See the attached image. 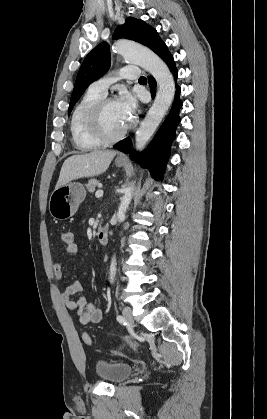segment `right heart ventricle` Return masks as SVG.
Masks as SVG:
<instances>
[{
    "mask_svg": "<svg viewBox=\"0 0 267 419\" xmlns=\"http://www.w3.org/2000/svg\"><path fill=\"white\" fill-rule=\"evenodd\" d=\"M104 94L89 88L73 109L70 120V131L75 148L81 152L92 151L103 144L95 139L87 126V115L92 105Z\"/></svg>",
    "mask_w": 267,
    "mask_h": 419,
    "instance_id": "right-heart-ventricle-1",
    "label": "right heart ventricle"
}]
</instances>
